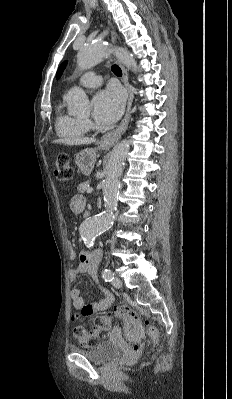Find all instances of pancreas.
I'll return each instance as SVG.
<instances>
[{"mask_svg":"<svg viewBox=\"0 0 232 399\" xmlns=\"http://www.w3.org/2000/svg\"><path fill=\"white\" fill-rule=\"evenodd\" d=\"M88 186L89 182H84V184H79V186H77V190L80 192V194H83V192H86Z\"/></svg>","mask_w":232,"mask_h":399,"instance_id":"cf45deb5","label":"pancreas"}]
</instances>
